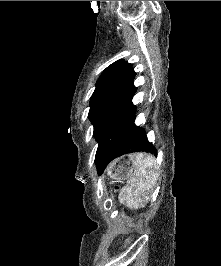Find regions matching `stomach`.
I'll use <instances>...</instances> for the list:
<instances>
[{"mask_svg": "<svg viewBox=\"0 0 221 266\" xmlns=\"http://www.w3.org/2000/svg\"><path fill=\"white\" fill-rule=\"evenodd\" d=\"M132 158L133 155H130L127 158L115 160L107 169L108 175L117 181L130 178L136 170Z\"/></svg>", "mask_w": 221, "mask_h": 266, "instance_id": "stomach-1", "label": "stomach"}]
</instances>
